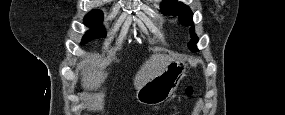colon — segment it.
Returning a JSON list of instances; mask_svg holds the SVG:
<instances>
[{
	"mask_svg": "<svg viewBox=\"0 0 285 115\" xmlns=\"http://www.w3.org/2000/svg\"><path fill=\"white\" fill-rule=\"evenodd\" d=\"M193 93V88H192V86H188L187 88H186V94L187 95H191Z\"/></svg>",
	"mask_w": 285,
	"mask_h": 115,
	"instance_id": "obj_1",
	"label": "colon"
}]
</instances>
